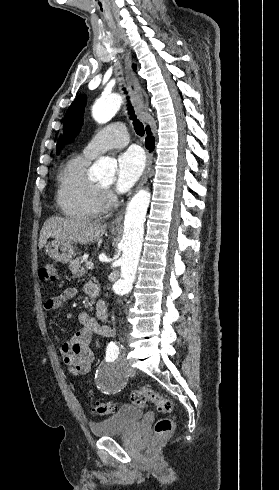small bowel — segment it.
Returning a JSON list of instances; mask_svg holds the SVG:
<instances>
[{
    "mask_svg": "<svg viewBox=\"0 0 279 490\" xmlns=\"http://www.w3.org/2000/svg\"><path fill=\"white\" fill-rule=\"evenodd\" d=\"M85 291L89 295L98 293V287L94 284L86 286ZM77 290L67 288L59 295L48 299L45 302L47 311H54L62 307L65 303L74 299ZM97 317L101 324L86 311H81L77 315V321L80 329L74 334L69 341H62L60 345V354L62 362L74 376H81L88 373L94 360V351L92 349L93 336L95 334L108 338L113 335V328L109 325V311L106 302L101 300L97 305Z\"/></svg>",
    "mask_w": 279,
    "mask_h": 490,
    "instance_id": "1",
    "label": "small bowel"
}]
</instances>
